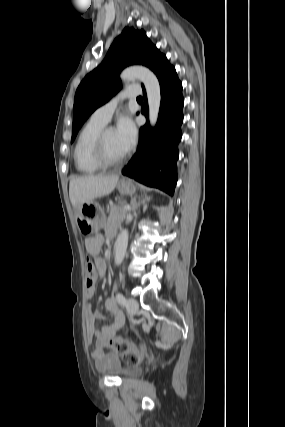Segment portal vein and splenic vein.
Returning a JSON list of instances; mask_svg holds the SVG:
<instances>
[{"mask_svg": "<svg viewBox=\"0 0 285 427\" xmlns=\"http://www.w3.org/2000/svg\"><path fill=\"white\" fill-rule=\"evenodd\" d=\"M123 208H124L125 210H129V209H130V206H129V205H124V206H123Z\"/></svg>", "mask_w": 285, "mask_h": 427, "instance_id": "1", "label": "portal vein and splenic vein"}]
</instances>
